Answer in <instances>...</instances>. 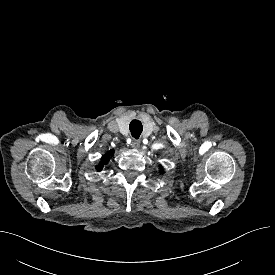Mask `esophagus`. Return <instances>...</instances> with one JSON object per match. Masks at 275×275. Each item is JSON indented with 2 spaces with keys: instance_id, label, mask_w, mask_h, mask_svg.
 Listing matches in <instances>:
<instances>
[{
  "instance_id": "obj_1",
  "label": "esophagus",
  "mask_w": 275,
  "mask_h": 275,
  "mask_svg": "<svg viewBox=\"0 0 275 275\" xmlns=\"http://www.w3.org/2000/svg\"><path fill=\"white\" fill-rule=\"evenodd\" d=\"M140 140H138V139H133L132 140V143H131V146L133 147V148H139V146H140Z\"/></svg>"
}]
</instances>
